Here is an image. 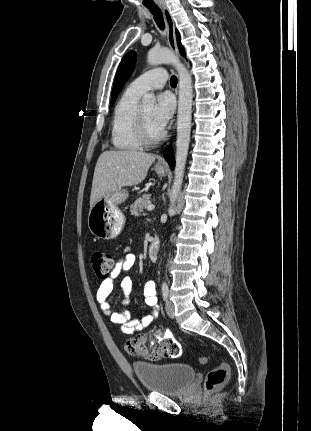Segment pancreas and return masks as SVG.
I'll return each mask as SVG.
<instances>
[{"label": "pancreas", "instance_id": "pancreas-1", "mask_svg": "<svg viewBox=\"0 0 311 431\" xmlns=\"http://www.w3.org/2000/svg\"><path fill=\"white\" fill-rule=\"evenodd\" d=\"M151 194H144L142 198H138V200H135L134 204L130 206L129 212L131 214H134V216H140V212H143L144 208H147L149 204H147L148 200H150Z\"/></svg>", "mask_w": 311, "mask_h": 431}]
</instances>
